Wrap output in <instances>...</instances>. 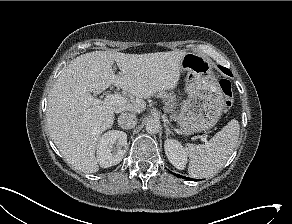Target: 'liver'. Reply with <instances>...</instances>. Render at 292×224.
I'll return each mask as SVG.
<instances>
[{"label":"liver","mask_w":292,"mask_h":224,"mask_svg":"<svg viewBox=\"0 0 292 224\" xmlns=\"http://www.w3.org/2000/svg\"><path fill=\"white\" fill-rule=\"evenodd\" d=\"M184 54L94 51L72 60L56 80L46 112L51 139L66 161L84 173H96L97 141L103 131L112 127L114 114H139L146 108L143 99L173 89L180 77ZM114 61L120 70L117 74ZM112 84L135 99L112 106L92 96L91 92L101 93Z\"/></svg>","instance_id":"liver-1"}]
</instances>
